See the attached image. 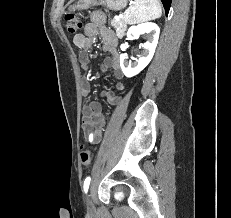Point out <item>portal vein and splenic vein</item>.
Wrapping results in <instances>:
<instances>
[{"mask_svg": "<svg viewBox=\"0 0 231 218\" xmlns=\"http://www.w3.org/2000/svg\"><path fill=\"white\" fill-rule=\"evenodd\" d=\"M122 16H115V20H119Z\"/></svg>", "mask_w": 231, "mask_h": 218, "instance_id": "obj_1", "label": "portal vein and splenic vein"}]
</instances>
